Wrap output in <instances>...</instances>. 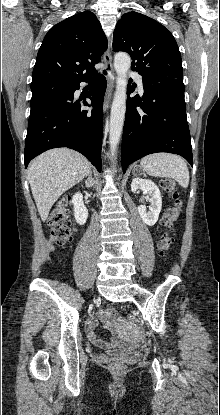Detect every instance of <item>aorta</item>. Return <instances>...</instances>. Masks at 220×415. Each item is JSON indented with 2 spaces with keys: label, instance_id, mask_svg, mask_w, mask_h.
I'll use <instances>...</instances> for the list:
<instances>
[{
  "label": "aorta",
  "instance_id": "762f6f07",
  "mask_svg": "<svg viewBox=\"0 0 220 415\" xmlns=\"http://www.w3.org/2000/svg\"><path fill=\"white\" fill-rule=\"evenodd\" d=\"M131 66V58L127 53L119 52L114 57V69L116 71V91L111 108L109 125V145L111 155L116 153L121 133L123 130L126 112L127 72Z\"/></svg>",
  "mask_w": 220,
  "mask_h": 415
}]
</instances>
